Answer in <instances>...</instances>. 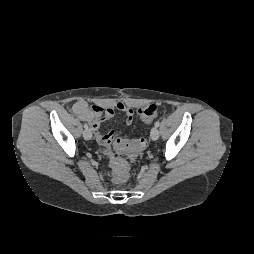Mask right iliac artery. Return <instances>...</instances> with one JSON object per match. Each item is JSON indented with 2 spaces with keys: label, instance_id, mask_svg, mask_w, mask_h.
Segmentation results:
<instances>
[{
  "label": "right iliac artery",
  "instance_id": "82829eb1",
  "mask_svg": "<svg viewBox=\"0 0 254 254\" xmlns=\"http://www.w3.org/2000/svg\"><path fill=\"white\" fill-rule=\"evenodd\" d=\"M84 128L87 129V128H88V125H87V124H84Z\"/></svg>",
  "mask_w": 254,
  "mask_h": 254
}]
</instances>
